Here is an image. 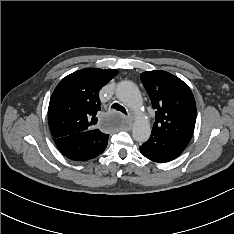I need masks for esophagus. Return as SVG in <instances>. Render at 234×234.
<instances>
[{
  "label": "esophagus",
  "instance_id": "1",
  "mask_svg": "<svg viewBox=\"0 0 234 234\" xmlns=\"http://www.w3.org/2000/svg\"><path fill=\"white\" fill-rule=\"evenodd\" d=\"M129 120V124H131V119H128Z\"/></svg>",
  "mask_w": 234,
  "mask_h": 234
}]
</instances>
